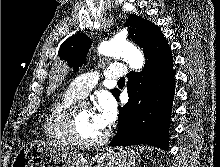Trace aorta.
Masks as SVG:
<instances>
[{"mask_svg":"<svg viewBox=\"0 0 220 167\" xmlns=\"http://www.w3.org/2000/svg\"><path fill=\"white\" fill-rule=\"evenodd\" d=\"M98 52L104 56L121 57L134 70H141L145 63L143 53L131 42L120 37L103 41L98 47Z\"/></svg>","mask_w":220,"mask_h":167,"instance_id":"obj_1","label":"aorta"}]
</instances>
